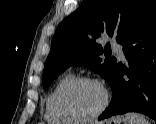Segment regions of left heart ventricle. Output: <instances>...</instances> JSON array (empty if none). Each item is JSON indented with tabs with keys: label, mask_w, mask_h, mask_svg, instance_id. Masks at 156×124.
Returning a JSON list of instances; mask_svg holds the SVG:
<instances>
[{
	"label": "left heart ventricle",
	"mask_w": 156,
	"mask_h": 124,
	"mask_svg": "<svg viewBox=\"0 0 156 124\" xmlns=\"http://www.w3.org/2000/svg\"><path fill=\"white\" fill-rule=\"evenodd\" d=\"M103 102V93L95 84L83 83L73 87L65 95L64 107L71 113L86 117L95 113Z\"/></svg>",
	"instance_id": "left-heart-ventricle-1"
}]
</instances>
